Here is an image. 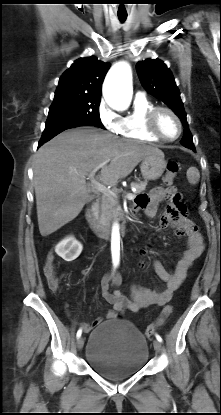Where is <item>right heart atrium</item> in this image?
Masks as SVG:
<instances>
[{
	"label": "right heart atrium",
	"instance_id": "d8ad5b80",
	"mask_svg": "<svg viewBox=\"0 0 221 415\" xmlns=\"http://www.w3.org/2000/svg\"><path fill=\"white\" fill-rule=\"evenodd\" d=\"M98 118L102 126L112 133H118L121 117L102 100L98 106Z\"/></svg>",
	"mask_w": 221,
	"mask_h": 415
}]
</instances>
